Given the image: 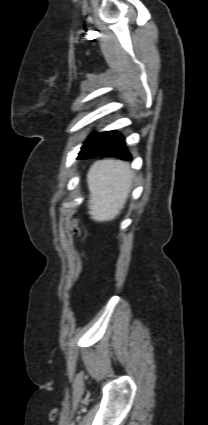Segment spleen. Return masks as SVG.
<instances>
[{
  "label": "spleen",
  "instance_id": "obj_1",
  "mask_svg": "<svg viewBox=\"0 0 208 425\" xmlns=\"http://www.w3.org/2000/svg\"><path fill=\"white\" fill-rule=\"evenodd\" d=\"M129 165L114 159L96 161L87 174L89 214L98 222L116 218L124 208L132 187Z\"/></svg>",
  "mask_w": 208,
  "mask_h": 425
}]
</instances>
